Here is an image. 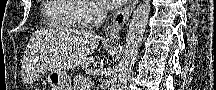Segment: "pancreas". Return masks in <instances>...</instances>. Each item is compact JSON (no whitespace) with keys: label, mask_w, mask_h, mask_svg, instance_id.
<instances>
[{"label":"pancreas","mask_w":216,"mask_h":90,"mask_svg":"<svg viewBox=\"0 0 216 90\" xmlns=\"http://www.w3.org/2000/svg\"><path fill=\"white\" fill-rule=\"evenodd\" d=\"M82 78H84V76H82V74H78V76H76V78H74L73 82H74L76 88H78V86H80Z\"/></svg>","instance_id":"1"}]
</instances>
